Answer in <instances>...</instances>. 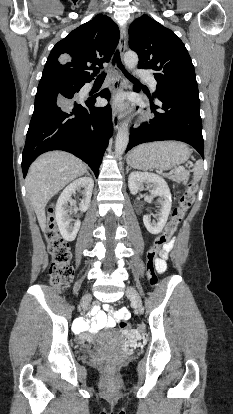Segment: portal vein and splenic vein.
Returning a JSON list of instances; mask_svg holds the SVG:
<instances>
[{
	"label": "portal vein and splenic vein",
	"mask_w": 233,
	"mask_h": 414,
	"mask_svg": "<svg viewBox=\"0 0 233 414\" xmlns=\"http://www.w3.org/2000/svg\"><path fill=\"white\" fill-rule=\"evenodd\" d=\"M183 170H184V167L183 166L182 167H179V168L176 169V173L181 172ZM164 175L165 176H169V174H164Z\"/></svg>",
	"instance_id": "portal-vein-and-splenic-vein-1"
}]
</instances>
